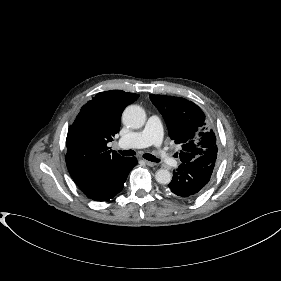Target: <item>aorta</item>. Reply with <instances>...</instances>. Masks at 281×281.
<instances>
[{"mask_svg": "<svg viewBox=\"0 0 281 281\" xmlns=\"http://www.w3.org/2000/svg\"><path fill=\"white\" fill-rule=\"evenodd\" d=\"M123 123L130 128H141L146 121V114L142 107L138 105L128 106L122 115ZM155 179L160 184H169L172 180L171 173L166 169H159L155 174Z\"/></svg>", "mask_w": 281, "mask_h": 281, "instance_id": "762f6f07", "label": "aorta"}]
</instances>
